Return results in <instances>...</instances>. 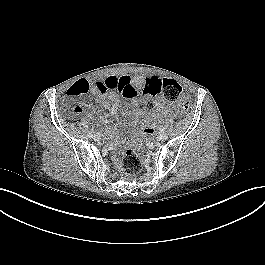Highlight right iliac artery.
Wrapping results in <instances>:
<instances>
[{
    "instance_id": "right-iliac-artery-1",
    "label": "right iliac artery",
    "mask_w": 265,
    "mask_h": 265,
    "mask_svg": "<svg viewBox=\"0 0 265 265\" xmlns=\"http://www.w3.org/2000/svg\"><path fill=\"white\" fill-rule=\"evenodd\" d=\"M87 136H88L89 138H92V137H93V133H92L91 131H89L88 134H87Z\"/></svg>"
}]
</instances>
